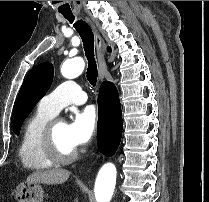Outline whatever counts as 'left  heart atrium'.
I'll list each match as a JSON object with an SVG mask.
<instances>
[{"mask_svg":"<svg viewBox=\"0 0 209 202\" xmlns=\"http://www.w3.org/2000/svg\"><path fill=\"white\" fill-rule=\"evenodd\" d=\"M98 114L95 106L89 105L76 110L73 119L67 125V138L74 148L86 144L94 135Z\"/></svg>","mask_w":209,"mask_h":202,"instance_id":"obj_1","label":"left heart atrium"}]
</instances>
